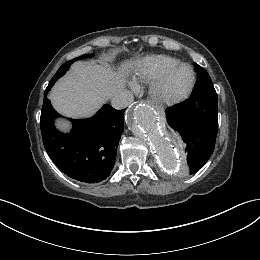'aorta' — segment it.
Masks as SVG:
<instances>
[{
  "mask_svg": "<svg viewBox=\"0 0 260 260\" xmlns=\"http://www.w3.org/2000/svg\"><path fill=\"white\" fill-rule=\"evenodd\" d=\"M127 123L132 132L150 147L164 170L184 166L180 139L166 132L164 124L152 108L145 104H137L128 114Z\"/></svg>",
  "mask_w": 260,
  "mask_h": 260,
  "instance_id": "aorta-1",
  "label": "aorta"
}]
</instances>
